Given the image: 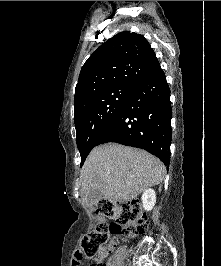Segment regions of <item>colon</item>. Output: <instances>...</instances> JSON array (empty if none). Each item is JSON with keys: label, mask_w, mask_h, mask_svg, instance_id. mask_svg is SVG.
Masks as SVG:
<instances>
[{"label": "colon", "mask_w": 221, "mask_h": 266, "mask_svg": "<svg viewBox=\"0 0 221 266\" xmlns=\"http://www.w3.org/2000/svg\"><path fill=\"white\" fill-rule=\"evenodd\" d=\"M96 216L110 219V224L99 223L94 230L85 235L81 241L84 247V258H96L91 266H105L103 261V246L111 236L128 235L141 236L148 230V218L142 212L141 205L137 200L113 202L102 200L97 204Z\"/></svg>", "instance_id": "colon-1"}]
</instances>
